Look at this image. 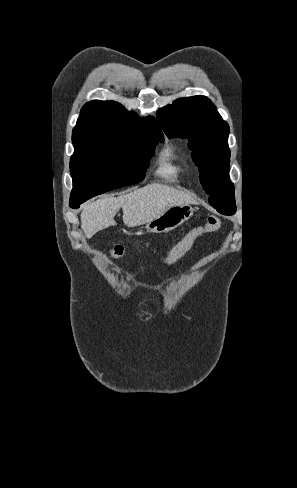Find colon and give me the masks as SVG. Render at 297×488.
<instances>
[{
    "label": "colon",
    "mask_w": 297,
    "mask_h": 488,
    "mask_svg": "<svg viewBox=\"0 0 297 488\" xmlns=\"http://www.w3.org/2000/svg\"><path fill=\"white\" fill-rule=\"evenodd\" d=\"M220 226L219 218L215 215H209L204 225L195 227L185 234V236L174 245L167 254L163 257V263L171 265L182 258L194 245L196 240L206 232L217 229ZM112 253L116 257H121L124 254V249L121 246L113 248Z\"/></svg>",
    "instance_id": "obj_1"
}]
</instances>
